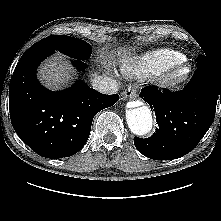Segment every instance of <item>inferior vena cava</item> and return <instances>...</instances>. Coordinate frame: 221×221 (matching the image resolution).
I'll use <instances>...</instances> for the list:
<instances>
[{
    "instance_id": "obj_1",
    "label": "inferior vena cava",
    "mask_w": 221,
    "mask_h": 221,
    "mask_svg": "<svg viewBox=\"0 0 221 221\" xmlns=\"http://www.w3.org/2000/svg\"><path fill=\"white\" fill-rule=\"evenodd\" d=\"M91 82L95 90L104 94H115L119 88L118 82L107 76H95Z\"/></svg>"
}]
</instances>
